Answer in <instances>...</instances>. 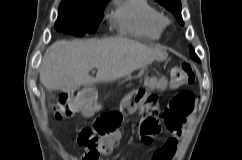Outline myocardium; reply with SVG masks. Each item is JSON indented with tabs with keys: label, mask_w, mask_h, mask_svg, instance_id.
I'll list each match as a JSON object with an SVG mask.
<instances>
[{
	"label": "myocardium",
	"mask_w": 242,
	"mask_h": 160,
	"mask_svg": "<svg viewBox=\"0 0 242 160\" xmlns=\"http://www.w3.org/2000/svg\"><path fill=\"white\" fill-rule=\"evenodd\" d=\"M163 22L166 23L167 22V19L166 18H163Z\"/></svg>",
	"instance_id": "obj_1"
}]
</instances>
